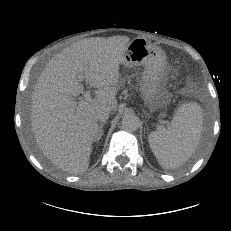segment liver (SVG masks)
I'll return each instance as SVG.
<instances>
[{
	"label": "liver",
	"instance_id": "obj_1",
	"mask_svg": "<svg viewBox=\"0 0 231 231\" xmlns=\"http://www.w3.org/2000/svg\"><path fill=\"white\" fill-rule=\"evenodd\" d=\"M129 40L113 36L79 41L52 58L40 75L31 97V127L39 148L58 168L73 174L88 168L99 128L96 113L103 106L117 109L119 69ZM79 73L98 88L82 108L74 99L84 89Z\"/></svg>",
	"mask_w": 231,
	"mask_h": 231
}]
</instances>
